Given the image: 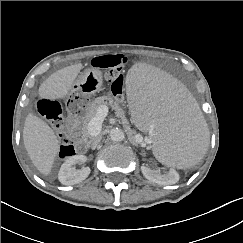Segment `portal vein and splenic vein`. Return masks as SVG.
Masks as SVG:
<instances>
[{"label":"portal vein and splenic vein","instance_id":"obj_1","mask_svg":"<svg viewBox=\"0 0 243 243\" xmlns=\"http://www.w3.org/2000/svg\"><path fill=\"white\" fill-rule=\"evenodd\" d=\"M108 114V107L101 106L96 113V116L89 122L88 124V131L92 136H96L101 131V126L104 118Z\"/></svg>","mask_w":243,"mask_h":243}]
</instances>
